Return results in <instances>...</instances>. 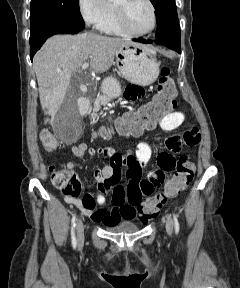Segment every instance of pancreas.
I'll use <instances>...</instances> for the list:
<instances>
[{
  "label": "pancreas",
  "mask_w": 240,
  "mask_h": 288,
  "mask_svg": "<svg viewBox=\"0 0 240 288\" xmlns=\"http://www.w3.org/2000/svg\"><path fill=\"white\" fill-rule=\"evenodd\" d=\"M109 98L105 95H98L94 101V106L91 109L89 113H91V116L95 118L97 116V112L100 110L101 106L106 104L108 102Z\"/></svg>",
  "instance_id": "cf45deb5"
}]
</instances>
